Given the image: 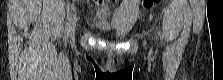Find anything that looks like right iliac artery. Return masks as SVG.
<instances>
[{
  "instance_id": "right-iliac-artery-1",
  "label": "right iliac artery",
  "mask_w": 223,
  "mask_h": 80,
  "mask_svg": "<svg viewBox=\"0 0 223 80\" xmlns=\"http://www.w3.org/2000/svg\"><path fill=\"white\" fill-rule=\"evenodd\" d=\"M74 11V8H71L68 11L67 19H66V26H65V40L68 39L70 34V27H71V21H72V12Z\"/></svg>"
}]
</instances>
